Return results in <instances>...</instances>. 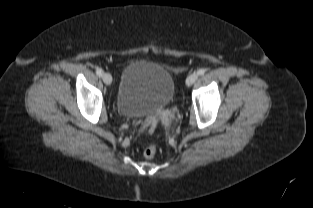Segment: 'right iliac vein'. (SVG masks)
Masks as SVG:
<instances>
[{
  "label": "right iliac vein",
  "mask_w": 313,
  "mask_h": 208,
  "mask_svg": "<svg viewBox=\"0 0 313 208\" xmlns=\"http://www.w3.org/2000/svg\"><path fill=\"white\" fill-rule=\"evenodd\" d=\"M102 79L106 85H110L112 83V76L110 73H104Z\"/></svg>",
  "instance_id": "1"
}]
</instances>
